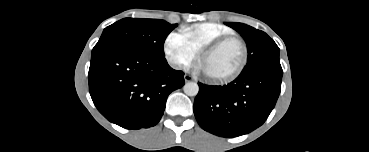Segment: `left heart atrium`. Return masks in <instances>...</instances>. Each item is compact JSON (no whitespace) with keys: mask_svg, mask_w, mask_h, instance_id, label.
<instances>
[{"mask_svg":"<svg viewBox=\"0 0 369 152\" xmlns=\"http://www.w3.org/2000/svg\"><path fill=\"white\" fill-rule=\"evenodd\" d=\"M199 69H200L201 71H203V68H202V66H201V65H200Z\"/></svg>","mask_w":369,"mask_h":152,"instance_id":"left-heart-atrium-1","label":"left heart atrium"}]
</instances>
